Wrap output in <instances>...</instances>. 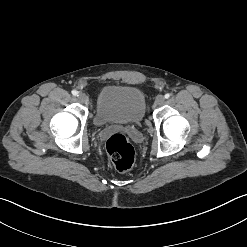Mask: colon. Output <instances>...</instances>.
Here are the masks:
<instances>
[{
	"mask_svg": "<svg viewBox=\"0 0 247 247\" xmlns=\"http://www.w3.org/2000/svg\"><path fill=\"white\" fill-rule=\"evenodd\" d=\"M106 152L118 171L125 172L131 169L135 151L125 135L119 133L111 135L106 141Z\"/></svg>",
	"mask_w": 247,
	"mask_h": 247,
	"instance_id": "colon-1",
	"label": "colon"
}]
</instances>
